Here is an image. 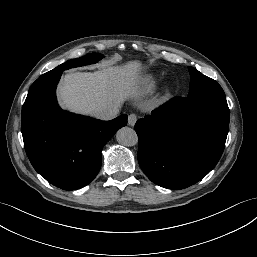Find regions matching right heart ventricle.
Instances as JSON below:
<instances>
[{"mask_svg":"<svg viewBox=\"0 0 257 257\" xmlns=\"http://www.w3.org/2000/svg\"><path fill=\"white\" fill-rule=\"evenodd\" d=\"M142 84H143L142 86H143L144 90H150L155 86L156 81L152 77H148V78L144 79Z\"/></svg>","mask_w":257,"mask_h":257,"instance_id":"e07e8e85","label":"right heart ventricle"}]
</instances>
